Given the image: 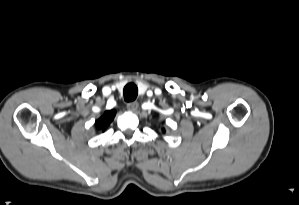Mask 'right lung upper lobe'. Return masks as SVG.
Listing matches in <instances>:
<instances>
[{
	"label": "right lung upper lobe",
	"mask_w": 299,
	"mask_h": 205,
	"mask_svg": "<svg viewBox=\"0 0 299 205\" xmlns=\"http://www.w3.org/2000/svg\"><path fill=\"white\" fill-rule=\"evenodd\" d=\"M116 112L114 110L106 111L102 117H100L96 123L95 126L98 130L105 131V128L111 123L115 116Z\"/></svg>",
	"instance_id": "1"
}]
</instances>
